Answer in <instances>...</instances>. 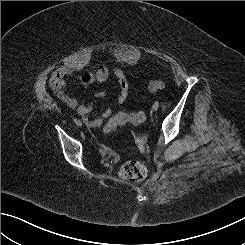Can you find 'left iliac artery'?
Here are the masks:
<instances>
[{"label":"left iliac artery","instance_id":"44dca946","mask_svg":"<svg viewBox=\"0 0 245 245\" xmlns=\"http://www.w3.org/2000/svg\"><path fill=\"white\" fill-rule=\"evenodd\" d=\"M155 104L159 105V101H156Z\"/></svg>","mask_w":245,"mask_h":245}]
</instances>
